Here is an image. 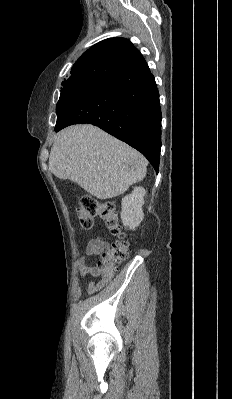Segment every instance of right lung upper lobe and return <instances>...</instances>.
<instances>
[{
	"label": "right lung upper lobe",
	"mask_w": 232,
	"mask_h": 399,
	"mask_svg": "<svg viewBox=\"0 0 232 399\" xmlns=\"http://www.w3.org/2000/svg\"><path fill=\"white\" fill-rule=\"evenodd\" d=\"M144 61L141 53L125 38L103 40L82 54L62 84L80 78L105 80Z\"/></svg>",
	"instance_id": "1"
}]
</instances>
